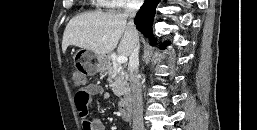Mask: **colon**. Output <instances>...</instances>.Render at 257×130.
I'll return each instance as SVG.
<instances>
[{"mask_svg": "<svg viewBox=\"0 0 257 130\" xmlns=\"http://www.w3.org/2000/svg\"><path fill=\"white\" fill-rule=\"evenodd\" d=\"M72 80L76 86H83L86 83V77L84 73L78 69L73 71Z\"/></svg>", "mask_w": 257, "mask_h": 130, "instance_id": "obj_1", "label": "colon"}]
</instances>
